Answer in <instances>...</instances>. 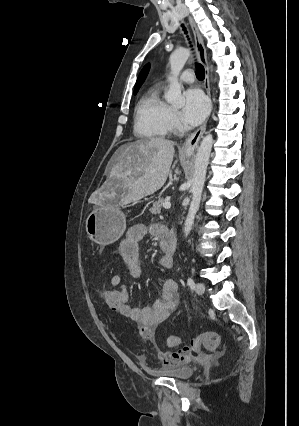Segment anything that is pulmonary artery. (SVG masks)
<instances>
[{"label":"pulmonary artery","mask_w":299,"mask_h":426,"mask_svg":"<svg viewBox=\"0 0 299 426\" xmlns=\"http://www.w3.org/2000/svg\"><path fill=\"white\" fill-rule=\"evenodd\" d=\"M195 79V75L193 73L192 70H185L181 75H180V81L184 82V83H192Z\"/></svg>","instance_id":"obj_1"}]
</instances>
